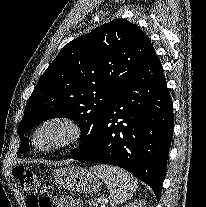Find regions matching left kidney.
I'll list each match as a JSON object with an SVG mask.
<instances>
[{
    "instance_id": "5707ae66",
    "label": "left kidney",
    "mask_w": 206,
    "mask_h": 207,
    "mask_svg": "<svg viewBox=\"0 0 206 207\" xmlns=\"http://www.w3.org/2000/svg\"><path fill=\"white\" fill-rule=\"evenodd\" d=\"M124 207H146V204L144 200H138L128 205H125Z\"/></svg>"
}]
</instances>
